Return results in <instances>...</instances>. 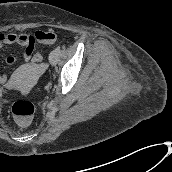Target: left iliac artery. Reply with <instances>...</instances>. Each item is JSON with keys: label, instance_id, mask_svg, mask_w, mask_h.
<instances>
[{"label": "left iliac artery", "instance_id": "obj_1", "mask_svg": "<svg viewBox=\"0 0 172 172\" xmlns=\"http://www.w3.org/2000/svg\"><path fill=\"white\" fill-rule=\"evenodd\" d=\"M54 51H56L59 54L61 52V48L57 47Z\"/></svg>", "mask_w": 172, "mask_h": 172}]
</instances>
